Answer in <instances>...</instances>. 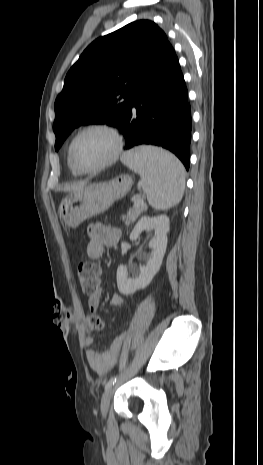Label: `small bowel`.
Masks as SVG:
<instances>
[{"instance_id":"small-bowel-1","label":"small bowel","mask_w":263,"mask_h":465,"mask_svg":"<svg viewBox=\"0 0 263 465\" xmlns=\"http://www.w3.org/2000/svg\"><path fill=\"white\" fill-rule=\"evenodd\" d=\"M88 236L87 255L91 259H98L104 254L105 247L117 244L120 238V231L102 223H92L88 227ZM100 298L101 293L99 291L88 297V308L93 315H98ZM110 304L114 307L121 306L123 304V297L119 294H114L110 299ZM86 344L89 347L86 355L91 368L98 374L103 375L115 365L123 344V337H117L105 350L95 348L93 346L94 339L91 336H87Z\"/></svg>"}]
</instances>
